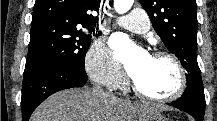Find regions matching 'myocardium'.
Wrapping results in <instances>:
<instances>
[{"label":"myocardium","mask_w":217,"mask_h":121,"mask_svg":"<svg viewBox=\"0 0 217 121\" xmlns=\"http://www.w3.org/2000/svg\"><path fill=\"white\" fill-rule=\"evenodd\" d=\"M151 57L166 59L174 66L177 73V84L174 90L171 93L164 96L153 95L143 91L138 86L134 78H132L131 84H132L133 91L140 98L151 102H157V103H169L181 97L187 88V74L182 62L174 54L168 51H156L151 55Z\"/></svg>","instance_id":"1"}]
</instances>
